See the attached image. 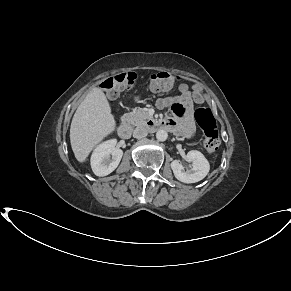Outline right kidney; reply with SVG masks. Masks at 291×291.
<instances>
[{
    "label": "right kidney",
    "instance_id": "1",
    "mask_svg": "<svg viewBox=\"0 0 291 291\" xmlns=\"http://www.w3.org/2000/svg\"><path fill=\"white\" fill-rule=\"evenodd\" d=\"M123 151L116 147V140H108L96 147L91 156V168L95 175L106 176L119 165Z\"/></svg>",
    "mask_w": 291,
    "mask_h": 291
}]
</instances>
